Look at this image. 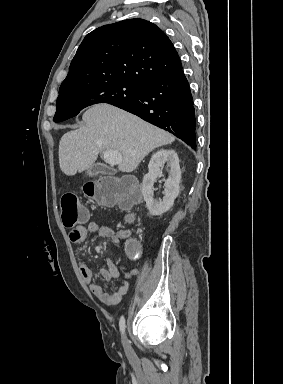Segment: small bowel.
I'll use <instances>...</instances> for the list:
<instances>
[{
    "label": "small bowel",
    "mask_w": 283,
    "mask_h": 384,
    "mask_svg": "<svg viewBox=\"0 0 283 384\" xmlns=\"http://www.w3.org/2000/svg\"><path fill=\"white\" fill-rule=\"evenodd\" d=\"M89 234H96L101 238H114V231L106 224L89 222L87 225H79L71 230L69 237L74 243H81ZM79 270L83 280L89 285L92 294L102 303L113 306L118 304L128 292L131 279L138 273L137 269H125L108 259L99 270L102 279L110 281L120 276L123 283L113 293H107L103 288L93 281V274L90 268L84 264H79Z\"/></svg>",
    "instance_id": "small-bowel-1"
}]
</instances>
